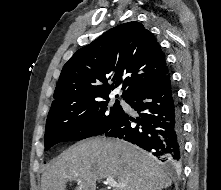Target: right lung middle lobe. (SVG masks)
Masks as SVG:
<instances>
[{
    "instance_id": "obj_1",
    "label": "right lung middle lobe",
    "mask_w": 221,
    "mask_h": 190,
    "mask_svg": "<svg viewBox=\"0 0 221 190\" xmlns=\"http://www.w3.org/2000/svg\"><path fill=\"white\" fill-rule=\"evenodd\" d=\"M122 114L119 101L111 105L108 97L51 109L46 121L45 150L59 142L104 134Z\"/></svg>"
}]
</instances>
